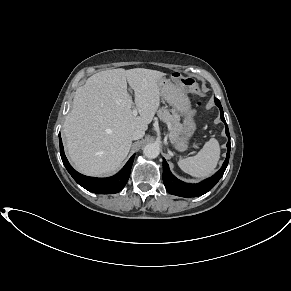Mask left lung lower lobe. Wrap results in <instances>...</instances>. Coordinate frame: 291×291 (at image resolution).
<instances>
[{"mask_svg":"<svg viewBox=\"0 0 291 291\" xmlns=\"http://www.w3.org/2000/svg\"><path fill=\"white\" fill-rule=\"evenodd\" d=\"M214 101H215V104L220 109V117H221L222 121L225 123L226 134L228 136V143H227L228 151H227V156H226V159L223 163V166L218 172L215 173L214 176H212V177H210V178H208V179H206L198 184H189V183H185V182L178 180L170 172L169 166H168L166 160L163 159V182H164V185H165L167 191L170 194L180 196V197H186V198L201 196V195L207 193L209 190H211L217 184V182L223 176V174L227 168L228 161H229V155H230V135H229L228 126H227L225 118H224V113H223L221 103L217 98H215Z\"/></svg>","mask_w":291,"mask_h":291,"instance_id":"left-lung-lower-lobe-1","label":"left lung lower lobe"}]
</instances>
